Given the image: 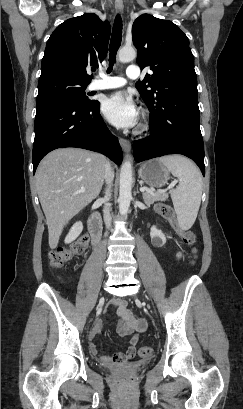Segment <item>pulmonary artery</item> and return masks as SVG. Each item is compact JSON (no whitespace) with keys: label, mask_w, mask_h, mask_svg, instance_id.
<instances>
[{"label":"pulmonary artery","mask_w":243,"mask_h":409,"mask_svg":"<svg viewBox=\"0 0 243 409\" xmlns=\"http://www.w3.org/2000/svg\"><path fill=\"white\" fill-rule=\"evenodd\" d=\"M126 75L128 78L136 80L140 77V70L138 66L131 65L127 68ZM99 78L96 80H93L89 88L91 90H106V89H113V88H119L123 86L126 82V80L121 77V76H111L104 74L102 72H99Z\"/></svg>","instance_id":"e3ab8cb5"}]
</instances>
